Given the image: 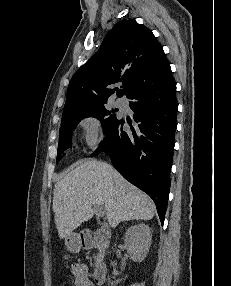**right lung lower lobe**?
<instances>
[{"instance_id": "right-lung-lower-lobe-1", "label": "right lung lower lobe", "mask_w": 231, "mask_h": 286, "mask_svg": "<svg viewBox=\"0 0 231 286\" xmlns=\"http://www.w3.org/2000/svg\"><path fill=\"white\" fill-rule=\"evenodd\" d=\"M125 95L131 100L129 106L139 124L124 131V121L116 120L92 156L102 151L108 154L120 174L153 199L163 224L177 128L172 72L136 82Z\"/></svg>"}]
</instances>
